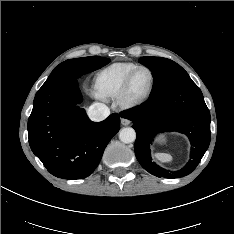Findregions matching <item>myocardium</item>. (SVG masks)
Listing matches in <instances>:
<instances>
[{
  "label": "myocardium",
  "mask_w": 234,
  "mask_h": 234,
  "mask_svg": "<svg viewBox=\"0 0 234 234\" xmlns=\"http://www.w3.org/2000/svg\"><path fill=\"white\" fill-rule=\"evenodd\" d=\"M139 70H147L150 75H151V83L150 86L148 88V90L141 96L139 97H132L130 95V89H131V83L132 80L135 76V74L139 71ZM154 85H155V74L153 72L152 69H150L147 66H137L126 78L123 87L118 95V102L120 104L121 107L125 108V109H130L133 107H136L140 104H142L144 101H146L149 96L151 95L153 89H154Z\"/></svg>",
  "instance_id": "f54148a6"
}]
</instances>
